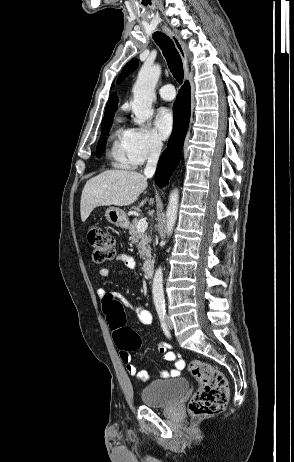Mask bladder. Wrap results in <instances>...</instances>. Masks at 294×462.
<instances>
[{
  "label": "bladder",
  "instance_id": "1",
  "mask_svg": "<svg viewBox=\"0 0 294 462\" xmlns=\"http://www.w3.org/2000/svg\"><path fill=\"white\" fill-rule=\"evenodd\" d=\"M188 389V381L184 378L156 380L142 388L140 397L146 406L164 408L177 402Z\"/></svg>",
  "mask_w": 294,
  "mask_h": 462
}]
</instances>
